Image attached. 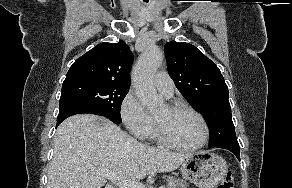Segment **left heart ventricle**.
Masks as SVG:
<instances>
[{
  "label": "left heart ventricle",
  "mask_w": 292,
  "mask_h": 188,
  "mask_svg": "<svg viewBox=\"0 0 292 188\" xmlns=\"http://www.w3.org/2000/svg\"><path fill=\"white\" fill-rule=\"evenodd\" d=\"M154 118L163 126L166 134L178 144L195 145L203 137L201 121L190 112H171L165 107Z\"/></svg>",
  "instance_id": "obj_1"
}]
</instances>
